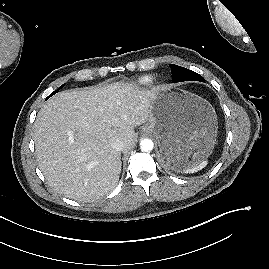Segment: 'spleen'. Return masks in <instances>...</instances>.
I'll return each mask as SVG.
<instances>
[{
  "label": "spleen",
  "mask_w": 269,
  "mask_h": 269,
  "mask_svg": "<svg viewBox=\"0 0 269 269\" xmlns=\"http://www.w3.org/2000/svg\"><path fill=\"white\" fill-rule=\"evenodd\" d=\"M206 165H207V160H203L199 164H197L191 168L185 169L184 172L185 173H193V172H196L198 170L203 169Z\"/></svg>",
  "instance_id": "1"
}]
</instances>
